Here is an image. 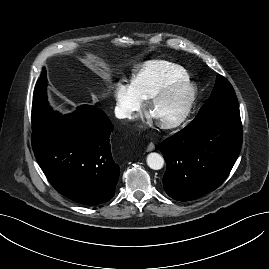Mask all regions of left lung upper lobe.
<instances>
[{
    "label": "left lung upper lobe",
    "instance_id": "obj_1",
    "mask_svg": "<svg viewBox=\"0 0 269 269\" xmlns=\"http://www.w3.org/2000/svg\"><path fill=\"white\" fill-rule=\"evenodd\" d=\"M230 107H238L235 91L226 78L218 76L208 101L202 106L199 112L212 113L215 110Z\"/></svg>",
    "mask_w": 269,
    "mask_h": 269
}]
</instances>
